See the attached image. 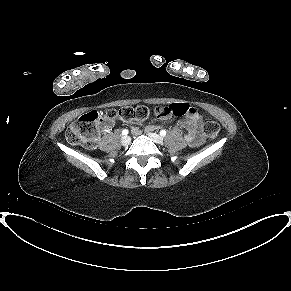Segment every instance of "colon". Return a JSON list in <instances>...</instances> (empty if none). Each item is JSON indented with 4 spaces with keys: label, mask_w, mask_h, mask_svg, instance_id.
Segmentation results:
<instances>
[{
    "label": "colon",
    "mask_w": 291,
    "mask_h": 291,
    "mask_svg": "<svg viewBox=\"0 0 291 291\" xmlns=\"http://www.w3.org/2000/svg\"><path fill=\"white\" fill-rule=\"evenodd\" d=\"M191 111V107L185 103L171 104L166 107H157L154 114L164 118L170 115H184ZM149 109L144 106H125L120 110L108 109L104 114L98 111H90L79 117L67 130L66 138L74 145L82 144L93 147L98 138V123L103 116L109 120L121 119L125 122H142L149 116ZM220 128L216 121L206 118L203 121V132L208 139H215Z\"/></svg>",
    "instance_id": "colon-1"
}]
</instances>
